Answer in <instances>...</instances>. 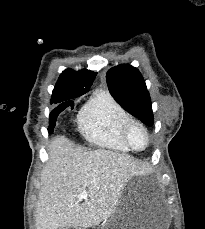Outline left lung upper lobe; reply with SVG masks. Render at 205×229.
Here are the masks:
<instances>
[{
	"mask_svg": "<svg viewBox=\"0 0 205 229\" xmlns=\"http://www.w3.org/2000/svg\"><path fill=\"white\" fill-rule=\"evenodd\" d=\"M114 99L133 116L148 126L153 125L152 104L140 72L130 65L111 68L106 74Z\"/></svg>",
	"mask_w": 205,
	"mask_h": 229,
	"instance_id": "5c2ea615",
	"label": "left lung upper lobe"
}]
</instances>
